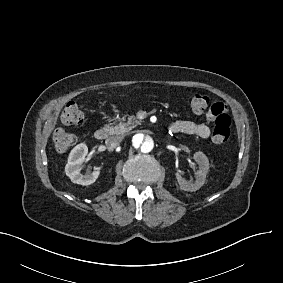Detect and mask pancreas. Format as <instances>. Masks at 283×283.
Wrapping results in <instances>:
<instances>
[{
    "label": "pancreas",
    "mask_w": 283,
    "mask_h": 283,
    "mask_svg": "<svg viewBox=\"0 0 283 283\" xmlns=\"http://www.w3.org/2000/svg\"><path fill=\"white\" fill-rule=\"evenodd\" d=\"M140 122L136 119L135 116H129L127 122H120L115 126L106 125L105 127L108 129L109 134L113 135H124L129 132L133 128H135Z\"/></svg>",
    "instance_id": "1"
}]
</instances>
